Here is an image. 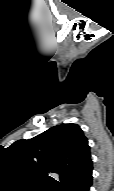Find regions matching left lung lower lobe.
Returning <instances> with one entry per match:
<instances>
[{"label": "left lung lower lobe", "mask_w": 114, "mask_h": 191, "mask_svg": "<svg viewBox=\"0 0 114 191\" xmlns=\"http://www.w3.org/2000/svg\"><path fill=\"white\" fill-rule=\"evenodd\" d=\"M91 157L60 188L61 191H89L92 185Z\"/></svg>", "instance_id": "left-lung-lower-lobe-1"}]
</instances>
